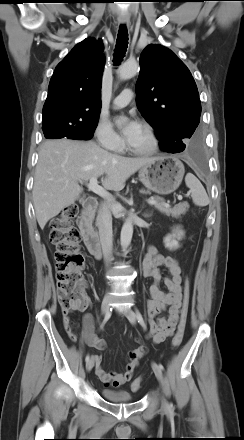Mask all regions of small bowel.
Here are the masks:
<instances>
[{
	"label": "small bowel",
	"instance_id": "c3829d8e",
	"mask_svg": "<svg viewBox=\"0 0 244 440\" xmlns=\"http://www.w3.org/2000/svg\"><path fill=\"white\" fill-rule=\"evenodd\" d=\"M161 267L169 271L170 278H162ZM143 269L144 275L153 279L149 289L151 299L146 304L147 321L150 326L147 338L158 344L174 333L179 320L182 302L181 268L175 258L161 254L156 246L151 245L145 253ZM162 280L168 289L167 292L160 288ZM63 324L69 337L75 341L77 336L70 318L64 317ZM83 336L89 346L100 351L106 348L105 340L95 335L91 314H85L83 317ZM143 350L142 347L127 353L128 363L123 373L106 372L101 366V355L93 354L91 358L94 361L96 375L105 384L115 381L121 385L129 382L134 376L139 359L143 356L141 353Z\"/></svg>",
	"mask_w": 244,
	"mask_h": 440
}]
</instances>
